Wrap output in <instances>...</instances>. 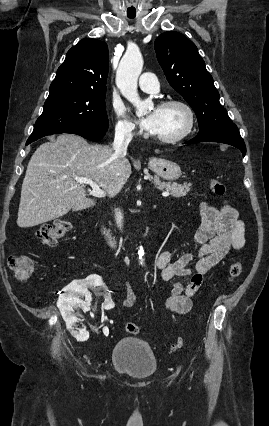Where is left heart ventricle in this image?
Returning <instances> with one entry per match:
<instances>
[{"label":"left heart ventricle","mask_w":269,"mask_h":426,"mask_svg":"<svg viewBox=\"0 0 269 426\" xmlns=\"http://www.w3.org/2000/svg\"><path fill=\"white\" fill-rule=\"evenodd\" d=\"M153 111L157 112V117L154 127L149 132L155 136H175L182 132L187 124V115L178 106L158 107Z\"/></svg>","instance_id":"1"}]
</instances>
